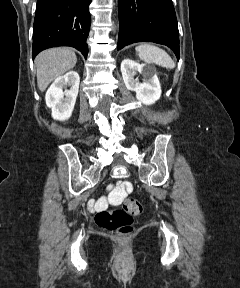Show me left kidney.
Instances as JSON below:
<instances>
[{
	"mask_svg": "<svg viewBox=\"0 0 240 288\" xmlns=\"http://www.w3.org/2000/svg\"><path fill=\"white\" fill-rule=\"evenodd\" d=\"M143 76V82L134 79L136 73ZM121 73L124 84L128 90L136 92V99L145 104H154L161 97V86L155 69L124 59L121 63Z\"/></svg>",
	"mask_w": 240,
	"mask_h": 288,
	"instance_id": "5707ae66",
	"label": "left kidney"
}]
</instances>
